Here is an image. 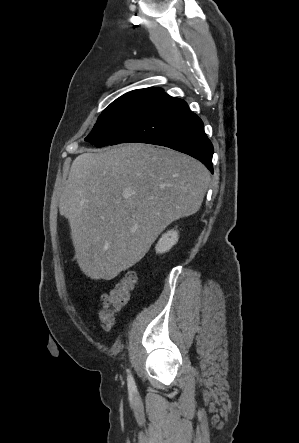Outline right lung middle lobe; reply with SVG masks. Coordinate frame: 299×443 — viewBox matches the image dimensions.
Listing matches in <instances>:
<instances>
[{"mask_svg": "<svg viewBox=\"0 0 299 443\" xmlns=\"http://www.w3.org/2000/svg\"><path fill=\"white\" fill-rule=\"evenodd\" d=\"M163 93L161 88H145L122 95L102 112L85 140L96 147L110 145Z\"/></svg>", "mask_w": 299, "mask_h": 443, "instance_id": "1", "label": "right lung middle lobe"}]
</instances>
